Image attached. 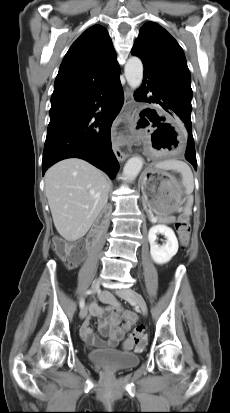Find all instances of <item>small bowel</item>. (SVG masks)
I'll list each match as a JSON object with an SVG mask.
<instances>
[{"instance_id": "1", "label": "small bowel", "mask_w": 230, "mask_h": 413, "mask_svg": "<svg viewBox=\"0 0 230 413\" xmlns=\"http://www.w3.org/2000/svg\"><path fill=\"white\" fill-rule=\"evenodd\" d=\"M100 300L109 304V306L104 308L96 302H93L90 305V316L87 317L82 324L81 335L83 340L90 346L114 348L136 323L137 317L131 311H124L121 314L114 312L113 309L118 306V302L108 291H102L100 293ZM91 316L99 318L100 333L101 335L108 337V340L103 341L93 335L90 327ZM121 318L123 319L122 322ZM131 347V341L126 340L124 342V350L128 351Z\"/></svg>"}]
</instances>
